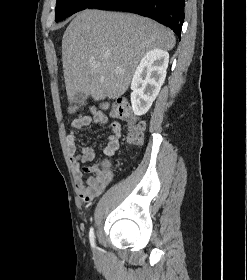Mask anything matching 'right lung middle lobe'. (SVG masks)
Wrapping results in <instances>:
<instances>
[{
  "label": "right lung middle lobe",
  "instance_id": "dd1d6c3e",
  "mask_svg": "<svg viewBox=\"0 0 247 280\" xmlns=\"http://www.w3.org/2000/svg\"><path fill=\"white\" fill-rule=\"evenodd\" d=\"M98 0H57L56 3V21L63 20L72 14L89 8Z\"/></svg>",
  "mask_w": 247,
  "mask_h": 280
}]
</instances>
